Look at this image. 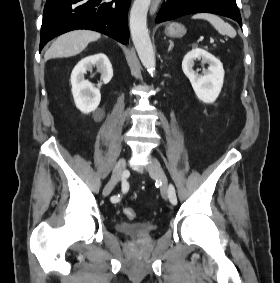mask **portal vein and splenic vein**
Masks as SVG:
<instances>
[{"label": "portal vein and splenic vein", "mask_w": 280, "mask_h": 283, "mask_svg": "<svg viewBox=\"0 0 280 283\" xmlns=\"http://www.w3.org/2000/svg\"><path fill=\"white\" fill-rule=\"evenodd\" d=\"M210 42H211V43H213V42H214V40L211 38V39H210Z\"/></svg>", "instance_id": "portal-vein-and-splenic-vein-1"}]
</instances>
